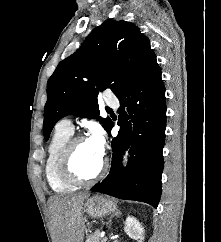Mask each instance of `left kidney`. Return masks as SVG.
<instances>
[{"label":"left kidney","mask_w":221,"mask_h":242,"mask_svg":"<svg viewBox=\"0 0 221 242\" xmlns=\"http://www.w3.org/2000/svg\"><path fill=\"white\" fill-rule=\"evenodd\" d=\"M124 231L130 238L137 240V242H143L144 228L135 217L128 216L126 218Z\"/></svg>","instance_id":"5707ae66"}]
</instances>
